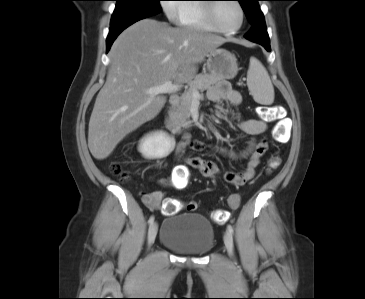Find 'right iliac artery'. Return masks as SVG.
Here are the masks:
<instances>
[{"label": "right iliac artery", "mask_w": 365, "mask_h": 299, "mask_svg": "<svg viewBox=\"0 0 365 299\" xmlns=\"http://www.w3.org/2000/svg\"><path fill=\"white\" fill-rule=\"evenodd\" d=\"M153 222H154V217H153V216H151V217L149 218V220H148V223H149V225H151V224H153Z\"/></svg>", "instance_id": "82829eb1"}]
</instances>
